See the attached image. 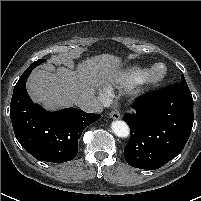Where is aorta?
I'll return each mask as SVG.
<instances>
[{
	"instance_id": "1",
	"label": "aorta",
	"mask_w": 201,
	"mask_h": 201,
	"mask_svg": "<svg viewBox=\"0 0 201 201\" xmlns=\"http://www.w3.org/2000/svg\"><path fill=\"white\" fill-rule=\"evenodd\" d=\"M111 129L114 134L118 137H128L130 134V129L124 121L116 120L111 124Z\"/></svg>"
}]
</instances>
